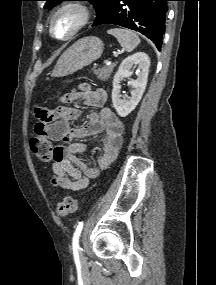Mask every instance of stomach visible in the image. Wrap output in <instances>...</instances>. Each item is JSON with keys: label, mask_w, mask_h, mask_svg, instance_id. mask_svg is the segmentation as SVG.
Returning a JSON list of instances; mask_svg holds the SVG:
<instances>
[{"label": "stomach", "mask_w": 216, "mask_h": 285, "mask_svg": "<svg viewBox=\"0 0 216 285\" xmlns=\"http://www.w3.org/2000/svg\"><path fill=\"white\" fill-rule=\"evenodd\" d=\"M103 42L95 36L79 39L59 58L52 72L53 77H64L90 65L103 52Z\"/></svg>", "instance_id": "0dacf381"}]
</instances>
